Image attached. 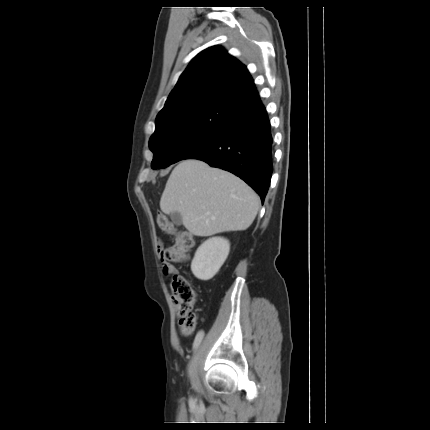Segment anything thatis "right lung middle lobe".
I'll return each mask as SVG.
<instances>
[{
    "label": "right lung middle lobe",
    "instance_id": "obj_1",
    "mask_svg": "<svg viewBox=\"0 0 430 430\" xmlns=\"http://www.w3.org/2000/svg\"><path fill=\"white\" fill-rule=\"evenodd\" d=\"M236 113L224 100H206L160 120L150 138L151 167L164 168L186 159L230 126Z\"/></svg>",
    "mask_w": 430,
    "mask_h": 430
}]
</instances>
